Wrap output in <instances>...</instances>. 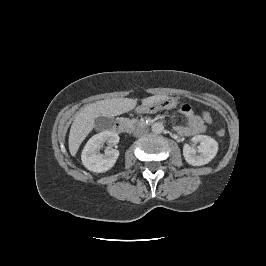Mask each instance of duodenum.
<instances>
[{
  "label": "duodenum",
  "instance_id": "duodenum-1",
  "mask_svg": "<svg viewBox=\"0 0 266 266\" xmlns=\"http://www.w3.org/2000/svg\"><path fill=\"white\" fill-rule=\"evenodd\" d=\"M129 129L127 123L125 122V120L123 119H118L116 122H115V130L118 132V133H124L126 132L127 130Z\"/></svg>",
  "mask_w": 266,
  "mask_h": 266
}]
</instances>
